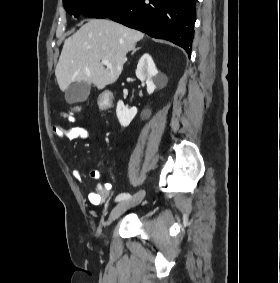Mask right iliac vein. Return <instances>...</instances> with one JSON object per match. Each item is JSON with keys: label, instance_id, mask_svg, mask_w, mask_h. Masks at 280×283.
<instances>
[{"label": "right iliac vein", "instance_id": "right-iliac-vein-1", "mask_svg": "<svg viewBox=\"0 0 280 283\" xmlns=\"http://www.w3.org/2000/svg\"><path fill=\"white\" fill-rule=\"evenodd\" d=\"M145 195L146 192L144 190H140L132 198L119 202L111 211L107 221V225H110L113 221H115L118 217H120V215H122L126 210L140 204L141 201L144 199Z\"/></svg>", "mask_w": 280, "mask_h": 283}]
</instances>
